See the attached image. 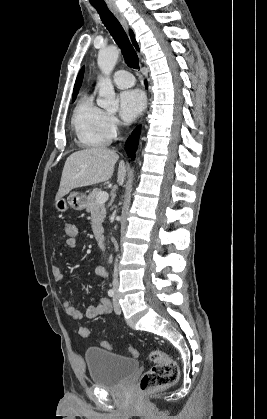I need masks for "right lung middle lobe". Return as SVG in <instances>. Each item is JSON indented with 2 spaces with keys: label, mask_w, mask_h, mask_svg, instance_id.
Segmentation results:
<instances>
[{
  "label": "right lung middle lobe",
  "mask_w": 267,
  "mask_h": 419,
  "mask_svg": "<svg viewBox=\"0 0 267 419\" xmlns=\"http://www.w3.org/2000/svg\"><path fill=\"white\" fill-rule=\"evenodd\" d=\"M76 96H77V95H74V96H73L72 101H74V100H75Z\"/></svg>",
  "instance_id": "dd1d6c3e"
}]
</instances>
